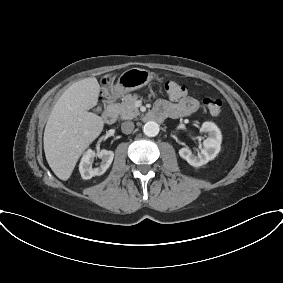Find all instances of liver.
<instances>
[{"mask_svg":"<svg viewBox=\"0 0 283 283\" xmlns=\"http://www.w3.org/2000/svg\"><path fill=\"white\" fill-rule=\"evenodd\" d=\"M99 92L95 77L82 79L61 95L51 111L44 131V152L61 180L70 178L82 153L103 130V119L89 112L97 105Z\"/></svg>","mask_w":283,"mask_h":283,"instance_id":"1","label":"liver"}]
</instances>
